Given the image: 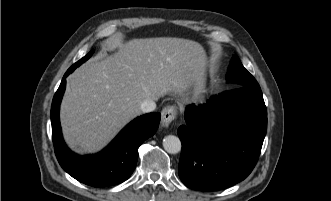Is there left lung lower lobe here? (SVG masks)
I'll return each mask as SVG.
<instances>
[{
  "label": "left lung lower lobe",
  "instance_id": "left-lung-lower-lobe-1",
  "mask_svg": "<svg viewBox=\"0 0 331 201\" xmlns=\"http://www.w3.org/2000/svg\"><path fill=\"white\" fill-rule=\"evenodd\" d=\"M178 174L188 187L214 191L244 180L255 167L267 130V111L258 85L240 86L189 105Z\"/></svg>",
  "mask_w": 331,
  "mask_h": 201
}]
</instances>
